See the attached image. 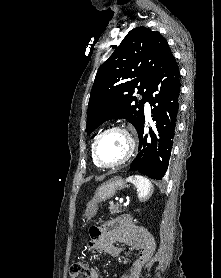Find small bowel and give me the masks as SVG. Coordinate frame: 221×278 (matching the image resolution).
Segmentation results:
<instances>
[{
    "label": "small bowel",
    "mask_w": 221,
    "mask_h": 278,
    "mask_svg": "<svg viewBox=\"0 0 221 278\" xmlns=\"http://www.w3.org/2000/svg\"><path fill=\"white\" fill-rule=\"evenodd\" d=\"M91 237L90 248L111 256H119L124 251L122 247L116 245L117 243L141 249L139 259L131 267L130 278H138L143 261L150 256L154 248L152 236L127 216H118L105 225L95 228ZM90 278H99L96 269H91Z\"/></svg>",
    "instance_id": "c3829d8e"
}]
</instances>
